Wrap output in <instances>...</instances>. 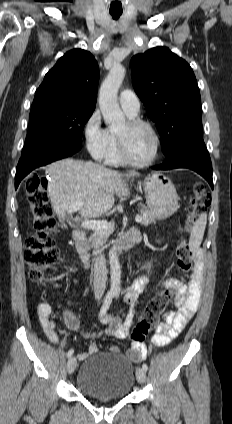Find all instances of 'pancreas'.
Segmentation results:
<instances>
[{
  "label": "pancreas",
  "mask_w": 232,
  "mask_h": 424,
  "mask_svg": "<svg viewBox=\"0 0 232 424\" xmlns=\"http://www.w3.org/2000/svg\"><path fill=\"white\" fill-rule=\"evenodd\" d=\"M140 217L141 221L139 222L141 225L147 226L151 223H155V217L152 212L145 205H140ZM112 229L99 230L96 231L89 239L91 247H97L99 244L102 245L107 241V238L112 234Z\"/></svg>",
  "instance_id": "pancreas-1"
}]
</instances>
